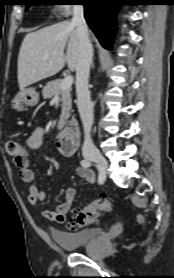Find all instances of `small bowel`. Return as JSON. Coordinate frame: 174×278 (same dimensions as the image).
<instances>
[{"instance_id": "obj_1", "label": "small bowel", "mask_w": 174, "mask_h": 278, "mask_svg": "<svg viewBox=\"0 0 174 278\" xmlns=\"http://www.w3.org/2000/svg\"><path fill=\"white\" fill-rule=\"evenodd\" d=\"M43 131L41 128H37L26 140L25 147L29 152V156L24 158H15V165L19 170L20 179L29 184L27 201L34 205L40 201H43L46 197L44 191H42L35 183V172L32 170L30 165V156L34 150H36L42 141ZM82 166V165H81ZM78 167L76 169V174L78 177L86 181L88 184L95 183L94 172L87 167ZM76 191L73 188H67L65 191V197L62 204L57 206L54 211H42L41 215L49 221L57 224L64 223L67 218V214L73 204Z\"/></svg>"}]
</instances>
